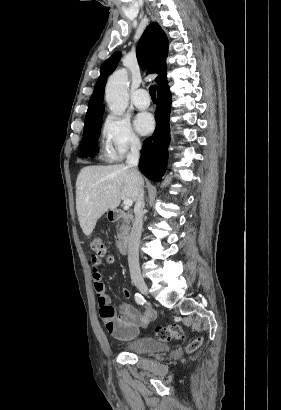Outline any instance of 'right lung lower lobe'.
Instances as JSON below:
<instances>
[{"label": "right lung lower lobe", "instance_id": "right-lung-lower-lobe-1", "mask_svg": "<svg viewBox=\"0 0 281 410\" xmlns=\"http://www.w3.org/2000/svg\"><path fill=\"white\" fill-rule=\"evenodd\" d=\"M171 111V92L169 86L158 89L156 129L143 144L139 162L140 171L149 179L161 181L166 170L168 145L170 142L169 117Z\"/></svg>", "mask_w": 281, "mask_h": 410}]
</instances>
